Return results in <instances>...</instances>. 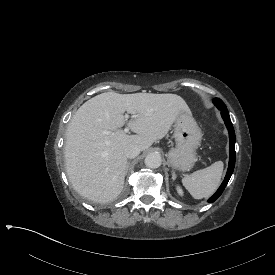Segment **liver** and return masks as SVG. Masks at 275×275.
Listing matches in <instances>:
<instances>
[{"mask_svg": "<svg viewBox=\"0 0 275 275\" xmlns=\"http://www.w3.org/2000/svg\"><path fill=\"white\" fill-rule=\"evenodd\" d=\"M180 110L189 107L176 94L106 92L86 101L66 132L65 163L74 189L95 202L114 200L123 190L127 173L125 146L148 149L168 133ZM124 112L137 115L127 123L136 135L120 129Z\"/></svg>", "mask_w": 275, "mask_h": 275, "instance_id": "6515ba94", "label": "liver"}]
</instances>
